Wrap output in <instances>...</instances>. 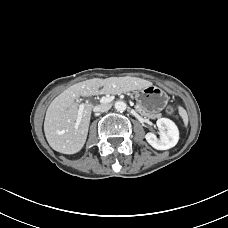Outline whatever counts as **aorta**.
<instances>
[{
	"label": "aorta",
	"mask_w": 228,
	"mask_h": 228,
	"mask_svg": "<svg viewBox=\"0 0 228 228\" xmlns=\"http://www.w3.org/2000/svg\"><path fill=\"white\" fill-rule=\"evenodd\" d=\"M114 107L117 111L123 112L126 110L127 105L123 101H117L115 102Z\"/></svg>",
	"instance_id": "762f6f07"
}]
</instances>
